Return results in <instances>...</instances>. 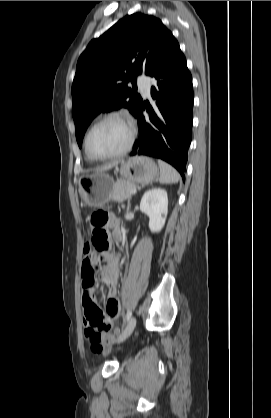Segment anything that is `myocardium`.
<instances>
[{
	"label": "myocardium",
	"instance_id": "obj_1",
	"mask_svg": "<svg viewBox=\"0 0 271 418\" xmlns=\"http://www.w3.org/2000/svg\"><path fill=\"white\" fill-rule=\"evenodd\" d=\"M109 120H119L122 121L124 123H126L130 129V135H129V139L126 143V145L119 150L118 152H115L113 154H109V155H105V156H97L91 153L90 149H89V138L90 135L92 133V131L100 124H102L103 122L109 121ZM135 137H136V128L133 125V123L123 114L120 113H109L106 114L104 116H102L101 118H99L98 120H96L91 127L88 129L86 135H85V139H84V148H85V152L87 154V156L92 159V160H96V161H104V160H111V159H115V158H119L121 156H124L125 154H127L135 141Z\"/></svg>",
	"mask_w": 271,
	"mask_h": 418
}]
</instances>
